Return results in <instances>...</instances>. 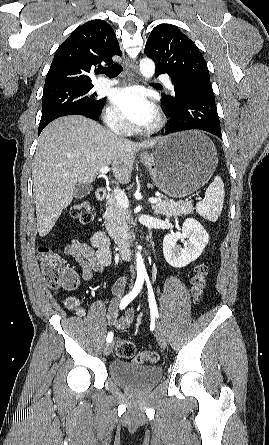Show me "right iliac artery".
Segmentation results:
<instances>
[{
	"label": "right iliac artery",
	"instance_id": "1",
	"mask_svg": "<svg viewBox=\"0 0 269 445\" xmlns=\"http://www.w3.org/2000/svg\"><path fill=\"white\" fill-rule=\"evenodd\" d=\"M143 277H138L134 288L132 289V291L130 293H128L126 296L123 297V299L120 302V308L124 309L141 291L142 286H143ZM113 339V333L109 332L106 338L107 342H111Z\"/></svg>",
	"mask_w": 269,
	"mask_h": 445
}]
</instances>
